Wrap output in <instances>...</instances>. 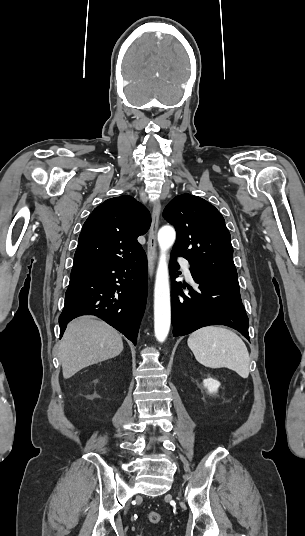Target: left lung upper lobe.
Segmentation results:
<instances>
[{
  "mask_svg": "<svg viewBox=\"0 0 305 536\" xmlns=\"http://www.w3.org/2000/svg\"><path fill=\"white\" fill-rule=\"evenodd\" d=\"M163 217L177 233L171 254L184 257L199 272L237 277L231 236L213 205L186 193L171 200Z\"/></svg>",
  "mask_w": 305,
  "mask_h": 536,
  "instance_id": "5c2ea615",
  "label": "left lung upper lobe"
}]
</instances>
